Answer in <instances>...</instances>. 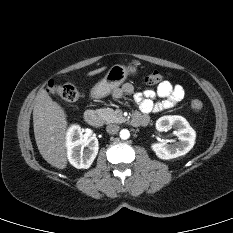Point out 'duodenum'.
I'll list each match as a JSON object with an SVG mask.
<instances>
[{
    "mask_svg": "<svg viewBox=\"0 0 233 233\" xmlns=\"http://www.w3.org/2000/svg\"><path fill=\"white\" fill-rule=\"evenodd\" d=\"M83 120L88 125L98 127L101 125V118L94 110H87L83 114ZM139 125L142 124V121H138Z\"/></svg>",
    "mask_w": 233,
    "mask_h": 233,
    "instance_id": "410a0bca",
    "label": "duodenum"
}]
</instances>
